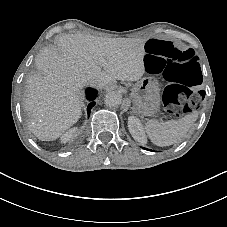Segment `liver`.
I'll return each mask as SVG.
<instances>
[{
	"label": "liver",
	"instance_id": "obj_1",
	"mask_svg": "<svg viewBox=\"0 0 227 227\" xmlns=\"http://www.w3.org/2000/svg\"><path fill=\"white\" fill-rule=\"evenodd\" d=\"M147 39L73 34L59 38L58 49L36 59L39 72L26 80L24 108L40 140L58 139L81 116L79 90L89 84L113 88L117 80L139 81L146 73Z\"/></svg>",
	"mask_w": 227,
	"mask_h": 227
}]
</instances>
